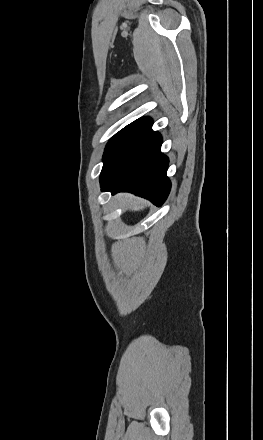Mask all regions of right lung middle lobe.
Masks as SVG:
<instances>
[{
    "label": "right lung middle lobe",
    "mask_w": 263,
    "mask_h": 440,
    "mask_svg": "<svg viewBox=\"0 0 263 440\" xmlns=\"http://www.w3.org/2000/svg\"><path fill=\"white\" fill-rule=\"evenodd\" d=\"M152 126V119L135 120L115 134L108 142L103 155L100 180L106 179Z\"/></svg>",
    "instance_id": "obj_1"
}]
</instances>
